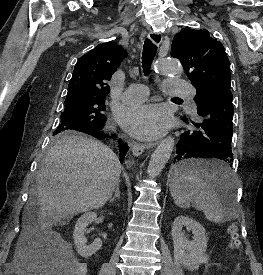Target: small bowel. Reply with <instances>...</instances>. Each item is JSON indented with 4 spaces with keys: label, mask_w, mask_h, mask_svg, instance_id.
Returning a JSON list of instances; mask_svg holds the SVG:
<instances>
[{
    "label": "small bowel",
    "mask_w": 263,
    "mask_h": 275,
    "mask_svg": "<svg viewBox=\"0 0 263 275\" xmlns=\"http://www.w3.org/2000/svg\"><path fill=\"white\" fill-rule=\"evenodd\" d=\"M28 268L33 273L31 275H48V269L41 262L32 263Z\"/></svg>",
    "instance_id": "small-bowel-1"
}]
</instances>
